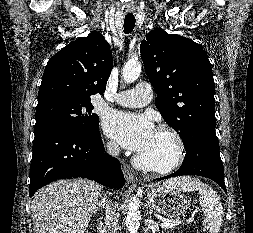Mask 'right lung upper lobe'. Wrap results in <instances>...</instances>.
Returning a JSON list of instances; mask_svg holds the SVG:
<instances>
[{
  "label": "right lung upper lobe",
  "mask_w": 253,
  "mask_h": 233,
  "mask_svg": "<svg viewBox=\"0 0 253 233\" xmlns=\"http://www.w3.org/2000/svg\"><path fill=\"white\" fill-rule=\"evenodd\" d=\"M112 66L110 45L101 33L78 38L48 61L38 103L53 97L90 99L96 93L103 94Z\"/></svg>",
  "instance_id": "1"
}]
</instances>
